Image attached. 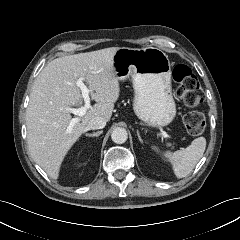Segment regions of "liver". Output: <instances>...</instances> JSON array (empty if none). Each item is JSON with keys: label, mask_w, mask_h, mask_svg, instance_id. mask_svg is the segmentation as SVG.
I'll return each mask as SVG.
<instances>
[{"label": "liver", "mask_w": 240, "mask_h": 240, "mask_svg": "<svg viewBox=\"0 0 240 240\" xmlns=\"http://www.w3.org/2000/svg\"><path fill=\"white\" fill-rule=\"evenodd\" d=\"M119 47L79 53L48 63L35 79L26 110L28 149L34 161L53 179H58L61 164L94 117L110 121L120 94L113 56ZM86 82L96 104L79 117L71 130L72 119L66 108L81 106L82 94L76 82Z\"/></svg>", "instance_id": "liver-1"}]
</instances>
